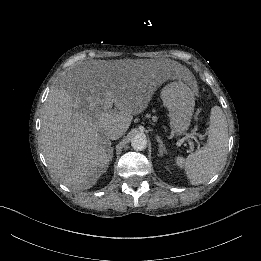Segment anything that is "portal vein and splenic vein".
I'll return each mask as SVG.
<instances>
[{
	"instance_id": "portal-vein-and-splenic-vein-1",
	"label": "portal vein and splenic vein",
	"mask_w": 261,
	"mask_h": 261,
	"mask_svg": "<svg viewBox=\"0 0 261 261\" xmlns=\"http://www.w3.org/2000/svg\"><path fill=\"white\" fill-rule=\"evenodd\" d=\"M209 135L208 131H203L202 133H189L186 137L176 142V147L182 146L188 141V144L190 146V151H193L194 144L192 141H195L196 148H201V141L200 139H204L206 136Z\"/></svg>"
}]
</instances>
